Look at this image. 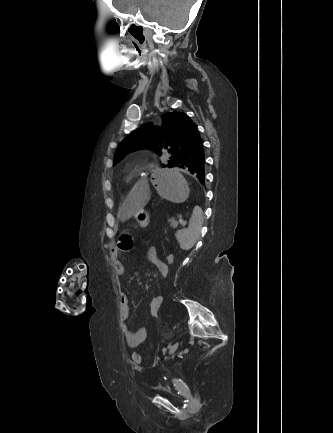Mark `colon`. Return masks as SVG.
I'll list each match as a JSON object with an SVG mask.
<instances>
[{"mask_svg": "<svg viewBox=\"0 0 333 433\" xmlns=\"http://www.w3.org/2000/svg\"><path fill=\"white\" fill-rule=\"evenodd\" d=\"M118 244L119 247L123 250H130L133 248L134 245V241L133 239L127 235V234H123L121 236L118 237ZM172 253H167V255L164 258L165 261V265L168 268H171L174 265L173 262V258H172ZM163 306V303L159 300L158 297H153L151 302H150V307L151 309L148 311V314L150 315L151 319H158V313L160 311V308ZM132 361L135 364H140L141 363V355L139 353H133L132 354Z\"/></svg>", "mask_w": 333, "mask_h": 433, "instance_id": "obj_1", "label": "colon"}]
</instances>
